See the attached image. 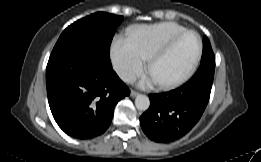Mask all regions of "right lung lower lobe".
Here are the masks:
<instances>
[{
	"label": "right lung lower lobe",
	"instance_id": "right-lung-lower-lobe-1",
	"mask_svg": "<svg viewBox=\"0 0 261 162\" xmlns=\"http://www.w3.org/2000/svg\"><path fill=\"white\" fill-rule=\"evenodd\" d=\"M46 86L55 121L65 133L78 139L104 133L115 105L130 94L113 71L109 54L92 47L51 54Z\"/></svg>",
	"mask_w": 261,
	"mask_h": 162
}]
</instances>
